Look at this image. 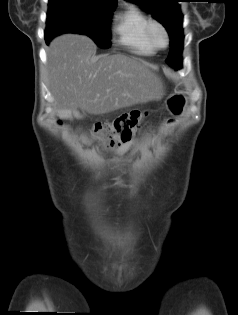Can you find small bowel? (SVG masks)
Segmentation results:
<instances>
[{"label": "small bowel", "mask_w": 238, "mask_h": 315, "mask_svg": "<svg viewBox=\"0 0 238 315\" xmlns=\"http://www.w3.org/2000/svg\"><path fill=\"white\" fill-rule=\"evenodd\" d=\"M136 144L135 140H131L128 141L126 143L120 144L117 148H116V154L117 155H121L124 152H126L129 148H131L132 146H134Z\"/></svg>", "instance_id": "c3829d8e"}]
</instances>
